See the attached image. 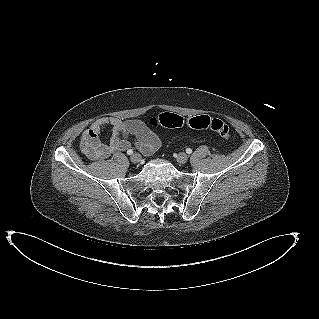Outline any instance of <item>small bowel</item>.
Returning <instances> with one entry per match:
<instances>
[{
  "label": "small bowel",
  "mask_w": 319,
  "mask_h": 319,
  "mask_svg": "<svg viewBox=\"0 0 319 319\" xmlns=\"http://www.w3.org/2000/svg\"><path fill=\"white\" fill-rule=\"evenodd\" d=\"M106 127L111 130L108 143L100 140ZM134 137L131 141L129 137ZM162 144V137L145 122L138 119L122 120L117 117H100L87 128L81 137V149L92 161H103L114 153L125 152L135 146L143 155L153 154Z\"/></svg>",
  "instance_id": "c3829d8e"
}]
</instances>
